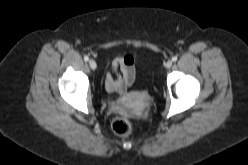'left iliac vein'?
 Listing matches in <instances>:
<instances>
[{"label": "left iliac vein", "mask_w": 248, "mask_h": 165, "mask_svg": "<svg viewBox=\"0 0 248 165\" xmlns=\"http://www.w3.org/2000/svg\"><path fill=\"white\" fill-rule=\"evenodd\" d=\"M172 66V61L171 60H168L165 64V67L166 68H170Z\"/></svg>", "instance_id": "obj_1"}]
</instances>
